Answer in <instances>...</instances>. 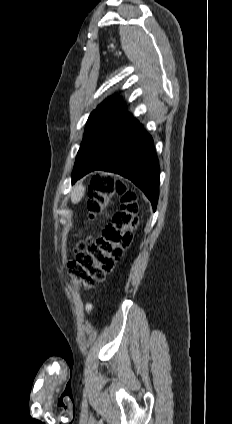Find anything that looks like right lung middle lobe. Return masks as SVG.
Instances as JSON below:
<instances>
[{
    "instance_id": "1",
    "label": "right lung middle lobe",
    "mask_w": 232,
    "mask_h": 424,
    "mask_svg": "<svg viewBox=\"0 0 232 424\" xmlns=\"http://www.w3.org/2000/svg\"><path fill=\"white\" fill-rule=\"evenodd\" d=\"M124 108L94 110L87 121L83 141L77 154L72 177L78 176L106 139L118 128L132 120Z\"/></svg>"
}]
</instances>
